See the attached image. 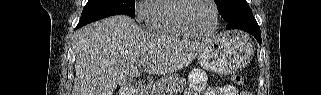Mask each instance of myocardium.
I'll return each mask as SVG.
<instances>
[{
    "label": "myocardium",
    "instance_id": "obj_1",
    "mask_svg": "<svg viewBox=\"0 0 321 95\" xmlns=\"http://www.w3.org/2000/svg\"><path fill=\"white\" fill-rule=\"evenodd\" d=\"M195 0H180L179 4L176 6L174 10V21L176 24H178L180 27L185 29L189 34L193 36H198V37H207L216 32L218 29L219 25V11L218 7L216 5V2L214 0H208L210 4L213 7L214 11V25L211 30L208 32H200L197 29H195L188 21L186 18V10L190 6L192 2Z\"/></svg>",
    "mask_w": 321,
    "mask_h": 95
}]
</instances>
